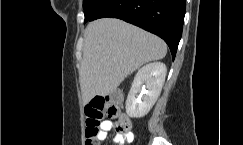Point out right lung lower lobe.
I'll use <instances>...</instances> for the list:
<instances>
[{
  "label": "right lung lower lobe",
  "mask_w": 243,
  "mask_h": 145,
  "mask_svg": "<svg viewBox=\"0 0 243 145\" xmlns=\"http://www.w3.org/2000/svg\"><path fill=\"white\" fill-rule=\"evenodd\" d=\"M85 21L119 18L161 37L174 60L182 35L185 0H92Z\"/></svg>",
  "instance_id": "1"
}]
</instances>
